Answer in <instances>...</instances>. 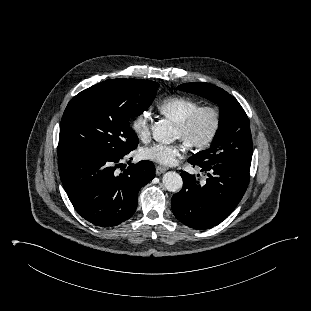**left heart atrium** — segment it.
Returning <instances> with one entry per match:
<instances>
[{"label":"left heart atrium","instance_id":"1","mask_svg":"<svg viewBox=\"0 0 311 311\" xmlns=\"http://www.w3.org/2000/svg\"><path fill=\"white\" fill-rule=\"evenodd\" d=\"M184 147L179 144L155 143L144 147L141 156L144 159L157 162L163 165H172L184 153Z\"/></svg>","mask_w":311,"mask_h":311}]
</instances>
